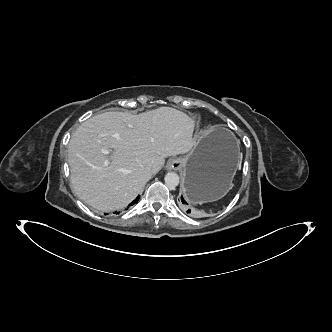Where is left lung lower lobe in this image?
I'll use <instances>...</instances> for the list:
<instances>
[{"mask_svg": "<svg viewBox=\"0 0 332 332\" xmlns=\"http://www.w3.org/2000/svg\"><path fill=\"white\" fill-rule=\"evenodd\" d=\"M180 200H181V202H182V203H181V206L184 207V209L186 210V212H187V213H191L190 208H188L187 206H185L187 203H186V201L184 200L183 196H181V199H180Z\"/></svg>", "mask_w": 332, "mask_h": 332, "instance_id": "obj_1", "label": "left lung lower lobe"}]
</instances>
